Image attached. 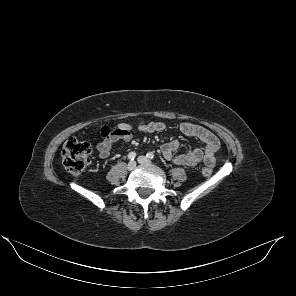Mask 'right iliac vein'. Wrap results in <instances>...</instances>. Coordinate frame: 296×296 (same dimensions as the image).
Here are the masks:
<instances>
[{
  "mask_svg": "<svg viewBox=\"0 0 296 296\" xmlns=\"http://www.w3.org/2000/svg\"><path fill=\"white\" fill-rule=\"evenodd\" d=\"M136 168V162L135 161H130L129 163H128V165H127V169L129 170V171H132V170H134Z\"/></svg>",
  "mask_w": 296,
  "mask_h": 296,
  "instance_id": "1",
  "label": "right iliac vein"
}]
</instances>
